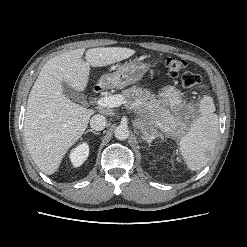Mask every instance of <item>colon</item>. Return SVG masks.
<instances>
[{
	"label": "colon",
	"instance_id": "obj_1",
	"mask_svg": "<svg viewBox=\"0 0 247 247\" xmlns=\"http://www.w3.org/2000/svg\"><path fill=\"white\" fill-rule=\"evenodd\" d=\"M187 63L182 59L168 58L165 61V67L171 77H178L186 68ZM202 78L199 74L185 72L181 77V84L184 88H192L200 84Z\"/></svg>",
	"mask_w": 247,
	"mask_h": 247
}]
</instances>
